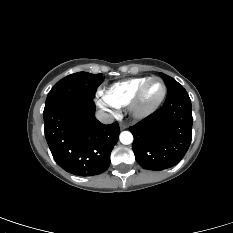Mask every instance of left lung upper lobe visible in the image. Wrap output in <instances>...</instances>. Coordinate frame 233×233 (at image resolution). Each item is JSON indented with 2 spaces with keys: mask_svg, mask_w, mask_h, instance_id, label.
Returning <instances> with one entry per match:
<instances>
[{
  "mask_svg": "<svg viewBox=\"0 0 233 233\" xmlns=\"http://www.w3.org/2000/svg\"><path fill=\"white\" fill-rule=\"evenodd\" d=\"M161 77L163 78L166 86H167V89H168V93H172L174 91H177L179 89H182L183 87L175 80L173 79L172 77L164 74V73H160Z\"/></svg>",
  "mask_w": 233,
  "mask_h": 233,
  "instance_id": "obj_1",
  "label": "left lung upper lobe"
}]
</instances>
